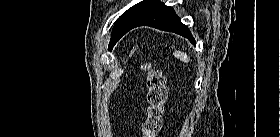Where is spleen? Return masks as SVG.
<instances>
[{
    "instance_id": "spleen-1",
    "label": "spleen",
    "mask_w": 280,
    "mask_h": 137,
    "mask_svg": "<svg viewBox=\"0 0 280 137\" xmlns=\"http://www.w3.org/2000/svg\"><path fill=\"white\" fill-rule=\"evenodd\" d=\"M173 55H174V57H176L180 61H183V62H186V63H188L190 61V57L182 51L175 50L173 52Z\"/></svg>"
}]
</instances>
